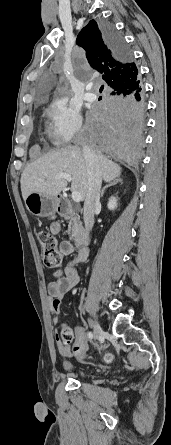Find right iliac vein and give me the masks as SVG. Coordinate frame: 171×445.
I'll return each instance as SVG.
<instances>
[{"label": "right iliac vein", "instance_id": "63e3f726", "mask_svg": "<svg viewBox=\"0 0 171 445\" xmlns=\"http://www.w3.org/2000/svg\"><path fill=\"white\" fill-rule=\"evenodd\" d=\"M103 329L100 325V323L98 322V320H95L93 323V334H94V338L98 339L100 337V335L102 334Z\"/></svg>", "mask_w": 171, "mask_h": 445}]
</instances>
